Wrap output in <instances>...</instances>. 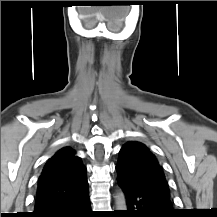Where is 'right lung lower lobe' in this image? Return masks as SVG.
<instances>
[{"mask_svg":"<svg viewBox=\"0 0 217 217\" xmlns=\"http://www.w3.org/2000/svg\"><path fill=\"white\" fill-rule=\"evenodd\" d=\"M29 217H92L88 191L35 210Z\"/></svg>","mask_w":217,"mask_h":217,"instance_id":"right-lung-lower-lobe-1","label":"right lung lower lobe"}]
</instances>
